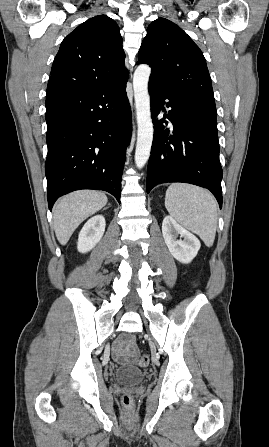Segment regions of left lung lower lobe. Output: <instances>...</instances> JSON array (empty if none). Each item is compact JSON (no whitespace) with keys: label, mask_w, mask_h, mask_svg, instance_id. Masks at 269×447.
Here are the masks:
<instances>
[{"label":"left lung lower lobe","mask_w":269,"mask_h":447,"mask_svg":"<svg viewBox=\"0 0 269 447\" xmlns=\"http://www.w3.org/2000/svg\"><path fill=\"white\" fill-rule=\"evenodd\" d=\"M154 138L147 168V193L166 182H184L209 189L222 207V168L216 118L198 115L180 97L149 83ZM168 99L169 102H165ZM164 104L172 109L156 120ZM168 118L172 122L166 128Z\"/></svg>","instance_id":"obj_1"}]
</instances>
